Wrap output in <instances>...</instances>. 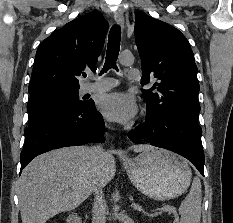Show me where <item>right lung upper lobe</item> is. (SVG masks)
Wrapping results in <instances>:
<instances>
[{
    "label": "right lung upper lobe",
    "instance_id": "1",
    "mask_svg": "<svg viewBox=\"0 0 233 223\" xmlns=\"http://www.w3.org/2000/svg\"><path fill=\"white\" fill-rule=\"evenodd\" d=\"M107 30L108 22L94 11L54 31L37 49L29 93L80 88L82 71H96Z\"/></svg>",
    "mask_w": 233,
    "mask_h": 223
}]
</instances>
